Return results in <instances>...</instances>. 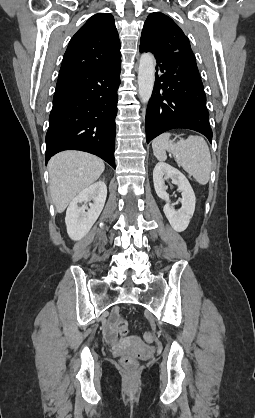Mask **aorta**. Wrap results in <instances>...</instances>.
<instances>
[{"mask_svg":"<svg viewBox=\"0 0 255 418\" xmlns=\"http://www.w3.org/2000/svg\"><path fill=\"white\" fill-rule=\"evenodd\" d=\"M155 80V59L151 53H143L139 61L138 91L141 102L147 103L152 95Z\"/></svg>","mask_w":255,"mask_h":418,"instance_id":"762f6f07","label":"aorta"}]
</instances>
